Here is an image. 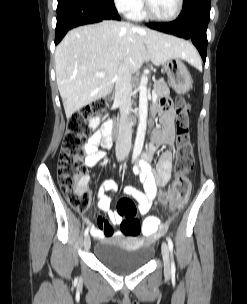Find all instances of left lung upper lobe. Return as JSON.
<instances>
[{"label":"left lung upper lobe","instance_id":"1","mask_svg":"<svg viewBox=\"0 0 247 304\" xmlns=\"http://www.w3.org/2000/svg\"><path fill=\"white\" fill-rule=\"evenodd\" d=\"M187 1H188V0H183V5L186 4Z\"/></svg>","mask_w":247,"mask_h":304}]
</instances>
